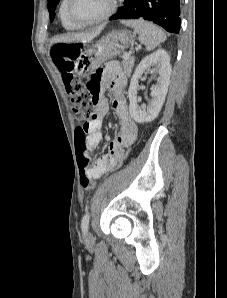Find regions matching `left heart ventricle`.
Wrapping results in <instances>:
<instances>
[{"mask_svg": "<svg viewBox=\"0 0 227 298\" xmlns=\"http://www.w3.org/2000/svg\"><path fill=\"white\" fill-rule=\"evenodd\" d=\"M110 0H73L71 12L78 21H90L106 12Z\"/></svg>", "mask_w": 227, "mask_h": 298, "instance_id": "obj_1", "label": "left heart ventricle"}]
</instances>
